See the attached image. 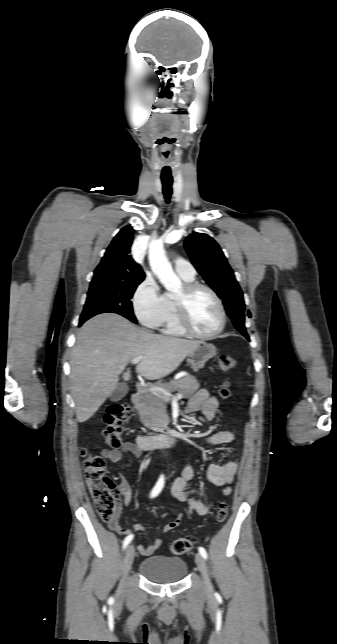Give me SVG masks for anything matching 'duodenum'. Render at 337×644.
Segmentation results:
<instances>
[{
  "instance_id": "duodenum-1",
  "label": "duodenum",
  "mask_w": 337,
  "mask_h": 644,
  "mask_svg": "<svg viewBox=\"0 0 337 644\" xmlns=\"http://www.w3.org/2000/svg\"><path fill=\"white\" fill-rule=\"evenodd\" d=\"M132 403L137 406L140 403V393L134 392L132 394ZM179 436L175 432H164L157 435H140L136 439L139 448L147 450L157 447L174 446L179 442Z\"/></svg>"
}]
</instances>
